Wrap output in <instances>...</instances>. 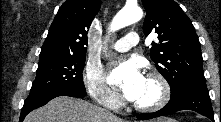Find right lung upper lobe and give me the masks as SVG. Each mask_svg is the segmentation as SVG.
I'll use <instances>...</instances> for the list:
<instances>
[{"mask_svg":"<svg viewBox=\"0 0 221 122\" xmlns=\"http://www.w3.org/2000/svg\"><path fill=\"white\" fill-rule=\"evenodd\" d=\"M99 7V0L65 1L51 24L40 59L86 56L87 30Z\"/></svg>","mask_w":221,"mask_h":122,"instance_id":"1","label":"right lung upper lobe"}]
</instances>
